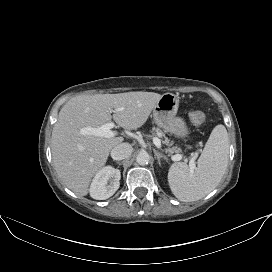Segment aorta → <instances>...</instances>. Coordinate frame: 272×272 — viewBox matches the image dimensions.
Returning a JSON list of instances; mask_svg holds the SVG:
<instances>
[{
    "label": "aorta",
    "mask_w": 272,
    "mask_h": 272,
    "mask_svg": "<svg viewBox=\"0 0 272 272\" xmlns=\"http://www.w3.org/2000/svg\"><path fill=\"white\" fill-rule=\"evenodd\" d=\"M149 160H150V156L146 151H141L136 157V162L139 165H146L148 164Z\"/></svg>",
    "instance_id": "obj_1"
}]
</instances>
